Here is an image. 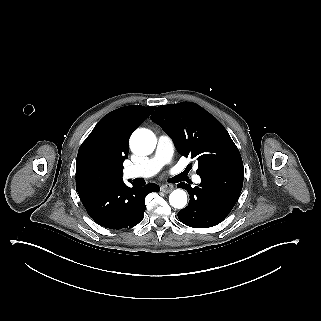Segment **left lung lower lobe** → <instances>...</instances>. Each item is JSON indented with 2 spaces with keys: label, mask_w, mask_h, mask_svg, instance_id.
<instances>
[{
  "label": "left lung lower lobe",
  "mask_w": 321,
  "mask_h": 321,
  "mask_svg": "<svg viewBox=\"0 0 321 321\" xmlns=\"http://www.w3.org/2000/svg\"><path fill=\"white\" fill-rule=\"evenodd\" d=\"M201 183L191 187L184 182L179 188L186 189L190 201L178 212L179 220L190 227L208 228L219 224L237 202L243 186L242 165L221 166L199 174Z\"/></svg>",
  "instance_id": "obj_1"
}]
</instances>
